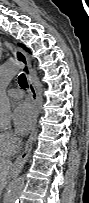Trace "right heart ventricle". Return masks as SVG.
Segmentation results:
<instances>
[{"mask_svg":"<svg viewBox=\"0 0 89 203\" xmlns=\"http://www.w3.org/2000/svg\"><path fill=\"white\" fill-rule=\"evenodd\" d=\"M14 153V150L10 148L3 137V133L0 134V159L10 157Z\"/></svg>","mask_w":89,"mask_h":203,"instance_id":"right-heart-ventricle-1","label":"right heart ventricle"}]
</instances>
